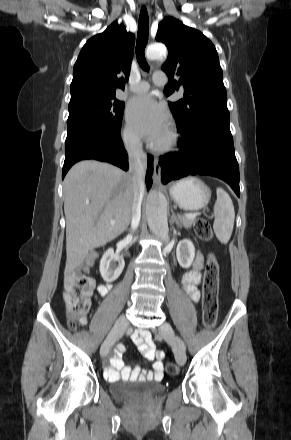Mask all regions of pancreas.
I'll return each instance as SVG.
<instances>
[{
	"instance_id": "pancreas-1",
	"label": "pancreas",
	"mask_w": 291,
	"mask_h": 440,
	"mask_svg": "<svg viewBox=\"0 0 291 440\" xmlns=\"http://www.w3.org/2000/svg\"><path fill=\"white\" fill-rule=\"evenodd\" d=\"M180 220V224L186 228L191 227L192 225L195 224L196 220L195 219H188L185 217H179Z\"/></svg>"
}]
</instances>
